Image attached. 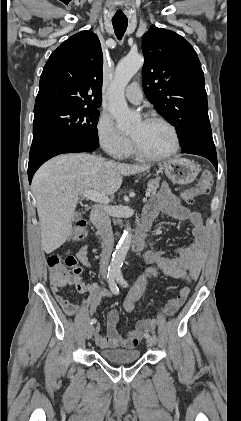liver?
<instances>
[{
	"instance_id": "1",
	"label": "liver",
	"mask_w": 241,
	"mask_h": 421,
	"mask_svg": "<svg viewBox=\"0 0 241 421\" xmlns=\"http://www.w3.org/2000/svg\"><path fill=\"white\" fill-rule=\"evenodd\" d=\"M150 165L124 164L86 154H65L43 164L33 177L42 249L51 253L69 237L79 196L95 190L113 195L122 177L144 172Z\"/></svg>"
}]
</instances>
